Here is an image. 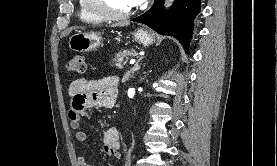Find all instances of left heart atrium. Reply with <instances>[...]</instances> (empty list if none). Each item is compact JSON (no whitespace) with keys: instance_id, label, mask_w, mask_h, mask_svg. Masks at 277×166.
<instances>
[{"instance_id":"1","label":"left heart atrium","mask_w":277,"mask_h":166,"mask_svg":"<svg viewBox=\"0 0 277 166\" xmlns=\"http://www.w3.org/2000/svg\"><path fill=\"white\" fill-rule=\"evenodd\" d=\"M146 0H131L133 6H138L144 3Z\"/></svg>"}]
</instances>
